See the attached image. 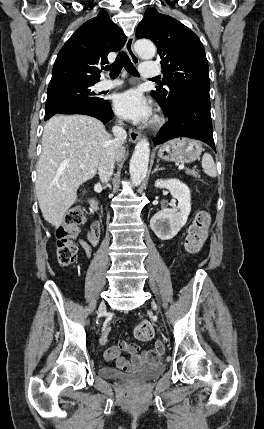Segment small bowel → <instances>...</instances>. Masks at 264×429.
<instances>
[{
    "label": "small bowel",
    "instance_id": "c3829d8e",
    "mask_svg": "<svg viewBox=\"0 0 264 429\" xmlns=\"http://www.w3.org/2000/svg\"><path fill=\"white\" fill-rule=\"evenodd\" d=\"M100 226L97 223L91 225L88 233L87 240L80 239L79 245L85 251L87 257L92 255V246L98 244L100 239ZM110 329H106L100 338L101 345H105L108 341ZM161 342L157 341L152 349L140 351V347L134 343L119 342L118 344L108 347L104 350V357L107 360H114L116 366L124 371H130L135 368H140L144 364L156 363L163 353V345L159 346ZM131 354L130 361L127 360L122 352Z\"/></svg>",
    "mask_w": 264,
    "mask_h": 429
}]
</instances>
